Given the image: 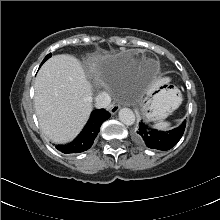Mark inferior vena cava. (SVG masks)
<instances>
[{"label": "inferior vena cava", "mask_w": 220, "mask_h": 220, "mask_svg": "<svg viewBox=\"0 0 220 220\" xmlns=\"http://www.w3.org/2000/svg\"><path fill=\"white\" fill-rule=\"evenodd\" d=\"M111 102V97L106 92L98 94L94 99V106L96 108H106Z\"/></svg>", "instance_id": "1"}]
</instances>
